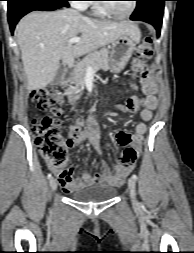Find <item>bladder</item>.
Returning a JSON list of instances; mask_svg holds the SVG:
<instances>
[{"mask_svg":"<svg viewBox=\"0 0 194 253\" xmlns=\"http://www.w3.org/2000/svg\"><path fill=\"white\" fill-rule=\"evenodd\" d=\"M116 194L117 189L114 186L96 184L76 190L71 198L79 203H101L113 199Z\"/></svg>","mask_w":194,"mask_h":253,"instance_id":"obj_1","label":"bladder"}]
</instances>
